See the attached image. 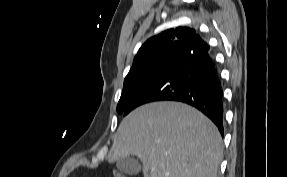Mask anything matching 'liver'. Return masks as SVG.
<instances>
[{
  "label": "liver",
  "instance_id": "6515ba94",
  "mask_svg": "<svg viewBox=\"0 0 287 177\" xmlns=\"http://www.w3.org/2000/svg\"><path fill=\"white\" fill-rule=\"evenodd\" d=\"M130 155L141 160L144 177H217L222 138L195 108L154 102L132 111L118 127L109 162Z\"/></svg>",
  "mask_w": 287,
  "mask_h": 177
}]
</instances>
